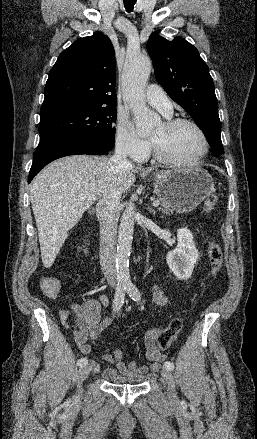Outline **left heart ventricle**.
Returning <instances> with one entry per match:
<instances>
[{
  "mask_svg": "<svg viewBox=\"0 0 257 439\" xmlns=\"http://www.w3.org/2000/svg\"><path fill=\"white\" fill-rule=\"evenodd\" d=\"M165 153L176 160L188 161L195 158L202 150V141L196 130L189 125L173 129L161 124L151 135Z\"/></svg>",
  "mask_w": 257,
  "mask_h": 439,
  "instance_id": "b2bd125f",
  "label": "left heart ventricle"
}]
</instances>
